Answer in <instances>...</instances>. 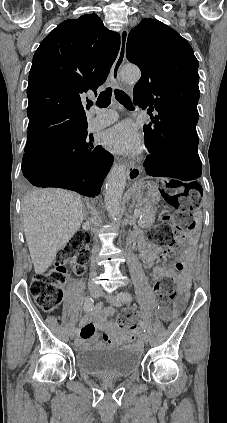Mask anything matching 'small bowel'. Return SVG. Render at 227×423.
<instances>
[{"label":"small bowel","mask_w":227,"mask_h":423,"mask_svg":"<svg viewBox=\"0 0 227 423\" xmlns=\"http://www.w3.org/2000/svg\"><path fill=\"white\" fill-rule=\"evenodd\" d=\"M162 255V248L153 243L148 244V250L145 254H143L144 263L148 268H151L152 279L155 281L170 274V271L167 268L154 265L155 261ZM176 269L181 273L179 278L180 289L186 292L188 274L185 271L184 263L181 261L177 262ZM185 303L186 297L176 300L171 308L158 307L161 319L164 321H171L176 318L181 313ZM113 313L114 309L110 306L103 307L102 305H97L94 307L81 321V329L76 340V345L82 348L95 341L97 339V329L104 330L105 333L102 336L104 343L134 340L140 335L139 329L129 332L118 330L111 322L108 321V318L112 316Z\"/></svg>","instance_id":"c3829d8e"}]
</instances>
